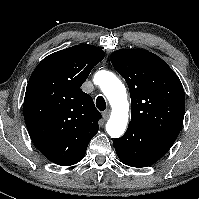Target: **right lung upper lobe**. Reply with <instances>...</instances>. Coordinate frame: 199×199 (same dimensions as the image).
<instances>
[{"instance_id":"right-lung-upper-lobe-1","label":"right lung upper lobe","mask_w":199,"mask_h":199,"mask_svg":"<svg viewBox=\"0 0 199 199\" xmlns=\"http://www.w3.org/2000/svg\"><path fill=\"white\" fill-rule=\"evenodd\" d=\"M105 53L92 45H76L50 54L34 69L24 98V119L38 150L57 165L83 159L99 130L100 112L81 90Z\"/></svg>"}]
</instances>
